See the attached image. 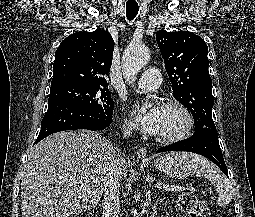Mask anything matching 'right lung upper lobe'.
Instances as JSON below:
<instances>
[{"label":"right lung upper lobe","instance_id":"1","mask_svg":"<svg viewBox=\"0 0 255 217\" xmlns=\"http://www.w3.org/2000/svg\"><path fill=\"white\" fill-rule=\"evenodd\" d=\"M114 40L107 30L76 32L65 38L55 53L52 86L81 84L107 87Z\"/></svg>","mask_w":255,"mask_h":217}]
</instances>
